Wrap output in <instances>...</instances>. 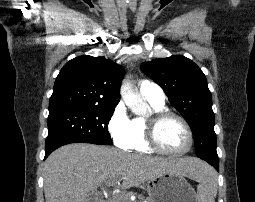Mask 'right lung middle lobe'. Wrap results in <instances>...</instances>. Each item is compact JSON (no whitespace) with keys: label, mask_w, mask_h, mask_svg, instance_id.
I'll return each mask as SVG.
<instances>
[{"label":"right lung middle lobe","mask_w":255,"mask_h":202,"mask_svg":"<svg viewBox=\"0 0 255 202\" xmlns=\"http://www.w3.org/2000/svg\"><path fill=\"white\" fill-rule=\"evenodd\" d=\"M114 107L86 106L49 114L46 148L69 143L109 145L108 123Z\"/></svg>","instance_id":"dd1d6c3e"}]
</instances>
